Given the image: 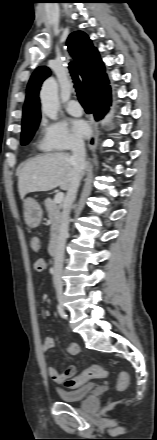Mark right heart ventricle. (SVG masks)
Masks as SVG:
<instances>
[{
    "label": "right heart ventricle",
    "instance_id": "e07e8e85",
    "mask_svg": "<svg viewBox=\"0 0 157 440\" xmlns=\"http://www.w3.org/2000/svg\"><path fill=\"white\" fill-rule=\"evenodd\" d=\"M40 147H41L42 149H44V148L41 146V144H40Z\"/></svg>",
    "mask_w": 157,
    "mask_h": 440
}]
</instances>
